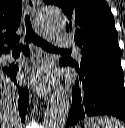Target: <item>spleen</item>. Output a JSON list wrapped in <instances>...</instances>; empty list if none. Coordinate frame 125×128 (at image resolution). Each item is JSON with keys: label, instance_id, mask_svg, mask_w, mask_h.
I'll return each mask as SVG.
<instances>
[{"label": "spleen", "instance_id": "3e777b00", "mask_svg": "<svg viewBox=\"0 0 125 128\" xmlns=\"http://www.w3.org/2000/svg\"><path fill=\"white\" fill-rule=\"evenodd\" d=\"M85 128H125V124L119 119L108 116L86 118Z\"/></svg>", "mask_w": 125, "mask_h": 128}]
</instances>
